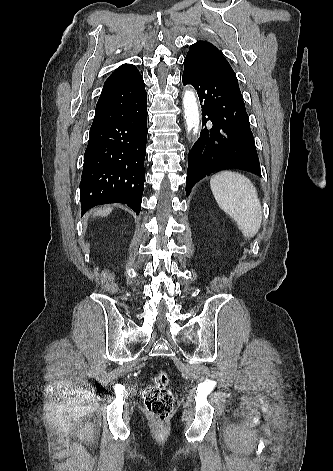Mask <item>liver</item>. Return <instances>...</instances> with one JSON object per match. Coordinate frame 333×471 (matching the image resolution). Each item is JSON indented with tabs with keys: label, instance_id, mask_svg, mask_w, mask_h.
<instances>
[{
	"label": "liver",
	"instance_id": "liver-1",
	"mask_svg": "<svg viewBox=\"0 0 333 471\" xmlns=\"http://www.w3.org/2000/svg\"><path fill=\"white\" fill-rule=\"evenodd\" d=\"M112 211V208L108 207V208H103V209H99L95 215L97 216H107L110 214V212Z\"/></svg>",
	"mask_w": 333,
	"mask_h": 471
}]
</instances>
